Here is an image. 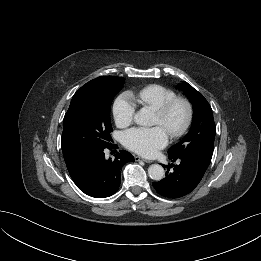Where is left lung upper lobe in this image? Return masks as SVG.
Segmentation results:
<instances>
[{"label": "left lung upper lobe", "mask_w": 261, "mask_h": 261, "mask_svg": "<svg viewBox=\"0 0 261 261\" xmlns=\"http://www.w3.org/2000/svg\"><path fill=\"white\" fill-rule=\"evenodd\" d=\"M179 87L193 105V121L188 134L168 150V155L172 158H186L207 170L216 134L212 109L203 95L191 85L183 83Z\"/></svg>", "instance_id": "obj_1"}]
</instances>
